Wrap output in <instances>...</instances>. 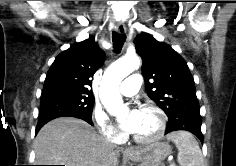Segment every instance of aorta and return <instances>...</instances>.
<instances>
[{"mask_svg": "<svg viewBox=\"0 0 236 166\" xmlns=\"http://www.w3.org/2000/svg\"><path fill=\"white\" fill-rule=\"evenodd\" d=\"M140 60L136 55L125 56L111 64L104 73L100 86V99L106 110L113 116L128 111L119 92L121 81L139 68Z\"/></svg>", "mask_w": 236, "mask_h": 166, "instance_id": "762f6f07", "label": "aorta"}]
</instances>
